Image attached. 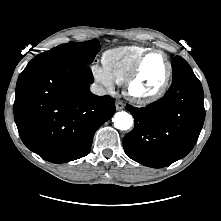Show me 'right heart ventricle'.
<instances>
[{"label":"right heart ventricle","mask_w":221,"mask_h":221,"mask_svg":"<svg viewBox=\"0 0 221 221\" xmlns=\"http://www.w3.org/2000/svg\"><path fill=\"white\" fill-rule=\"evenodd\" d=\"M150 48L140 45L119 46L102 54V64L111 80L123 85L137 59Z\"/></svg>","instance_id":"e07e8e85"}]
</instances>
